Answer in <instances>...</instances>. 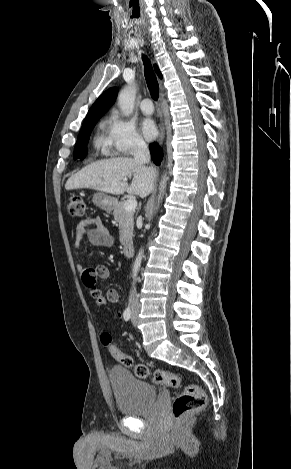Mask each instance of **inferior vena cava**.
Masks as SVG:
<instances>
[{
	"label": "inferior vena cava",
	"mask_w": 291,
	"mask_h": 469,
	"mask_svg": "<svg viewBox=\"0 0 291 469\" xmlns=\"http://www.w3.org/2000/svg\"><path fill=\"white\" fill-rule=\"evenodd\" d=\"M132 154L134 156V160L136 162L142 164H149L150 163V152L145 143V141L138 137L135 139ZM129 303L132 307L139 306V300L136 294V288L132 289L129 296Z\"/></svg>",
	"instance_id": "inferior-vena-cava-1"
}]
</instances>
